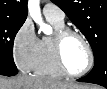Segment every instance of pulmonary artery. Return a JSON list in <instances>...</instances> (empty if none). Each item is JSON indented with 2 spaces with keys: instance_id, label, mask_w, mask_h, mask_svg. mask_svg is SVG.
Returning a JSON list of instances; mask_svg holds the SVG:
<instances>
[{
  "instance_id": "1",
  "label": "pulmonary artery",
  "mask_w": 107,
  "mask_h": 89,
  "mask_svg": "<svg viewBox=\"0 0 107 89\" xmlns=\"http://www.w3.org/2000/svg\"><path fill=\"white\" fill-rule=\"evenodd\" d=\"M43 13L46 18H52L57 21H64V12L53 3L45 4V6L43 7Z\"/></svg>"
}]
</instances>
